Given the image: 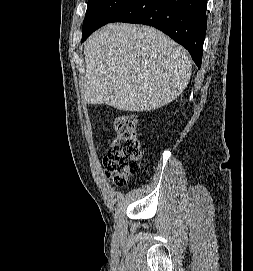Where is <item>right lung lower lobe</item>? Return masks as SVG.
<instances>
[{"label":"right lung lower lobe","mask_w":253,"mask_h":271,"mask_svg":"<svg viewBox=\"0 0 253 271\" xmlns=\"http://www.w3.org/2000/svg\"><path fill=\"white\" fill-rule=\"evenodd\" d=\"M206 8L207 0H131L110 22L145 24L161 30L184 46L200 68Z\"/></svg>","instance_id":"right-lung-lower-lobe-1"}]
</instances>
